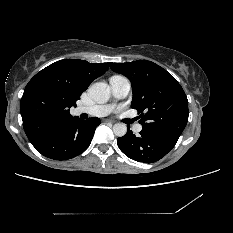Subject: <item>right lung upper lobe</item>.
I'll return each instance as SVG.
<instances>
[{"label":"right lung upper lobe","mask_w":233,"mask_h":233,"mask_svg":"<svg viewBox=\"0 0 233 233\" xmlns=\"http://www.w3.org/2000/svg\"><path fill=\"white\" fill-rule=\"evenodd\" d=\"M109 63L79 59L57 61L38 72L26 85L20 103L23 128L31 143L69 123V110Z\"/></svg>","instance_id":"right-lung-upper-lobe-1"}]
</instances>
